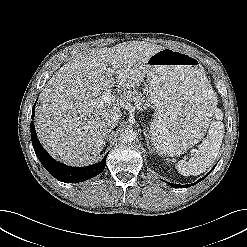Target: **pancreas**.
I'll list each match as a JSON object with an SVG mask.
<instances>
[{
	"label": "pancreas",
	"instance_id": "cf45deb5",
	"mask_svg": "<svg viewBox=\"0 0 247 247\" xmlns=\"http://www.w3.org/2000/svg\"><path fill=\"white\" fill-rule=\"evenodd\" d=\"M133 99L137 102L142 101L144 99L143 95L139 92H134Z\"/></svg>",
	"mask_w": 247,
	"mask_h": 247
}]
</instances>
